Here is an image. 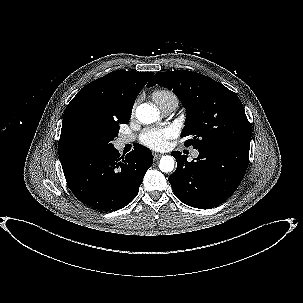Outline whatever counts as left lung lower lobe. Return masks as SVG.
I'll return each mask as SVG.
<instances>
[{
	"label": "left lung lower lobe",
	"instance_id": "1",
	"mask_svg": "<svg viewBox=\"0 0 303 303\" xmlns=\"http://www.w3.org/2000/svg\"><path fill=\"white\" fill-rule=\"evenodd\" d=\"M250 146L206 145L198 148V157L187 161L185 155L171 153L177 161L169 182L184 204L214 208L227 200L241 183L248 165Z\"/></svg>",
	"mask_w": 303,
	"mask_h": 303
}]
</instances>
